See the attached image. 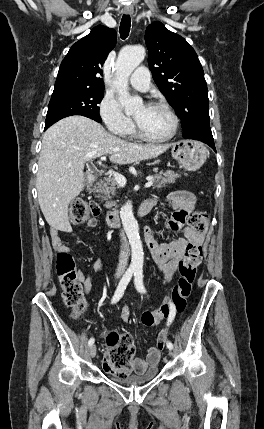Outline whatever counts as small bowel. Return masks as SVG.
<instances>
[{
    "mask_svg": "<svg viewBox=\"0 0 264 429\" xmlns=\"http://www.w3.org/2000/svg\"><path fill=\"white\" fill-rule=\"evenodd\" d=\"M170 203L174 206L175 211L172 214L171 219L165 226L167 232L182 233V236L169 242L160 244L157 242L155 233L150 227L144 229V238L150 249L151 257L163 274V282H169L177 270V266L184 256L187 249L192 245H201L203 241V233L196 231L185 225L186 218L190 212L193 211L196 198L195 196L186 190H177L171 192L168 196ZM154 205L153 200H148ZM97 224L95 218H91L87 222V227L94 228ZM67 232L70 228L66 229ZM51 238L53 246L58 251H67L68 248L62 242L59 231L53 230L51 232ZM91 269H102L101 265L94 263ZM78 279L83 283L85 291L88 293L91 290V276L89 273L80 271L78 273ZM121 318L127 322L130 319V312L127 306H123L121 310ZM161 334L167 336V331L163 330ZM161 350L157 346L150 347L146 357H137L133 359L131 363V372L137 374L145 373L148 369L156 366L160 359ZM108 352L105 354L103 359V368L108 371L105 359Z\"/></svg>",
    "mask_w": 264,
    "mask_h": 429,
    "instance_id": "c3829d8e",
    "label": "small bowel"
}]
</instances>
